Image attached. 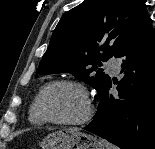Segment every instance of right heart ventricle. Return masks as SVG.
Here are the masks:
<instances>
[{
	"mask_svg": "<svg viewBox=\"0 0 155 149\" xmlns=\"http://www.w3.org/2000/svg\"><path fill=\"white\" fill-rule=\"evenodd\" d=\"M29 121L31 124L35 126H42L46 122L40 117L36 110V98L32 102L30 108H29Z\"/></svg>",
	"mask_w": 155,
	"mask_h": 149,
	"instance_id": "1",
	"label": "right heart ventricle"
}]
</instances>
